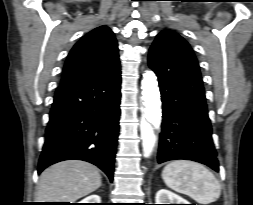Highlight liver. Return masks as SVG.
<instances>
[{"label":"liver","mask_w":253,"mask_h":205,"mask_svg":"<svg viewBox=\"0 0 253 205\" xmlns=\"http://www.w3.org/2000/svg\"><path fill=\"white\" fill-rule=\"evenodd\" d=\"M100 186L101 175L94 165L69 160L54 164L42 172L36 198L39 202L73 203Z\"/></svg>","instance_id":"6515ba94"}]
</instances>
